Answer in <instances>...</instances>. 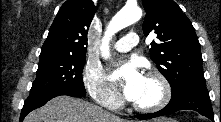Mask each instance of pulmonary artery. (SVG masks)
Returning a JSON list of instances; mask_svg holds the SVG:
<instances>
[{
    "mask_svg": "<svg viewBox=\"0 0 221 122\" xmlns=\"http://www.w3.org/2000/svg\"><path fill=\"white\" fill-rule=\"evenodd\" d=\"M139 42V37L135 32H130L123 38L118 40L113 48L118 52H127L136 46Z\"/></svg>",
    "mask_w": 221,
    "mask_h": 122,
    "instance_id": "1",
    "label": "pulmonary artery"
}]
</instances>
